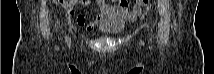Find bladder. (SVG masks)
<instances>
[{"label":"bladder","mask_w":214,"mask_h":74,"mask_svg":"<svg viewBox=\"0 0 214 74\" xmlns=\"http://www.w3.org/2000/svg\"><path fill=\"white\" fill-rule=\"evenodd\" d=\"M123 28L124 21L118 16L104 17L99 24V30L104 34L115 35L120 33Z\"/></svg>","instance_id":"31cf9c89"}]
</instances>
